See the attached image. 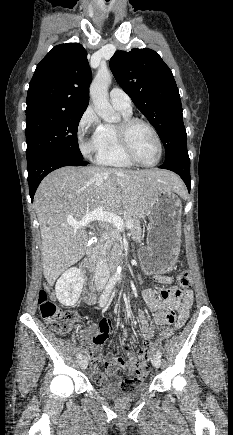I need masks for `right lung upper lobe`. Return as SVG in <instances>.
<instances>
[{"label":"right lung upper lobe","instance_id":"1","mask_svg":"<svg viewBox=\"0 0 233 435\" xmlns=\"http://www.w3.org/2000/svg\"><path fill=\"white\" fill-rule=\"evenodd\" d=\"M92 79L79 43L55 46L37 65L27 94L26 117L44 112H84Z\"/></svg>","mask_w":233,"mask_h":435}]
</instances>
